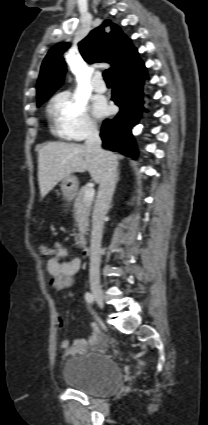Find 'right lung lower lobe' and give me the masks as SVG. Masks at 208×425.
Masks as SVG:
<instances>
[{
	"mask_svg": "<svg viewBox=\"0 0 208 425\" xmlns=\"http://www.w3.org/2000/svg\"><path fill=\"white\" fill-rule=\"evenodd\" d=\"M145 78L147 72L141 60L130 69L112 77L114 82L112 100L120 107V111L113 120H105L103 123L100 134L103 148L129 157H137L131 128L138 123L140 114L144 111L140 96Z\"/></svg>",
	"mask_w": 208,
	"mask_h": 425,
	"instance_id": "obj_1",
	"label": "right lung lower lobe"
}]
</instances>
